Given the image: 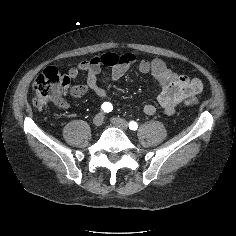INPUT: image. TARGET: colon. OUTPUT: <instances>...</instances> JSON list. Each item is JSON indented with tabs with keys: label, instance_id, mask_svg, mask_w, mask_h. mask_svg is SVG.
Listing matches in <instances>:
<instances>
[{
	"label": "colon",
	"instance_id": "colon-1",
	"mask_svg": "<svg viewBox=\"0 0 236 236\" xmlns=\"http://www.w3.org/2000/svg\"><path fill=\"white\" fill-rule=\"evenodd\" d=\"M69 82L70 78L67 74L54 67L46 68L33 83V105L36 108H43L50 101L60 99ZM184 104L188 107L196 106L198 105V99L193 95L188 96L184 99Z\"/></svg>",
	"mask_w": 236,
	"mask_h": 236
}]
</instances>
